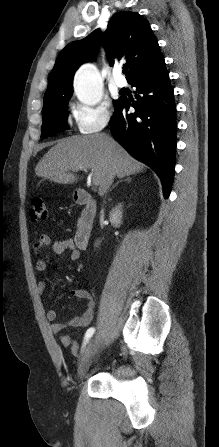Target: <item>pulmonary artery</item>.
Masks as SVG:
<instances>
[{
    "instance_id": "pulmonary-artery-1",
    "label": "pulmonary artery",
    "mask_w": 219,
    "mask_h": 447,
    "mask_svg": "<svg viewBox=\"0 0 219 447\" xmlns=\"http://www.w3.org/2000/svg\"><path fill=\"white\" fill-rule=\"evenodd\" d=\"M121 69L117 68L114 72V82L118 88H123L126 86V80L120 75Z\"/></svg>"
}]
</instances>
